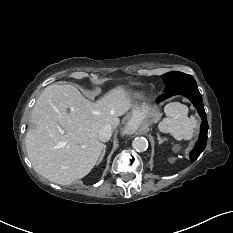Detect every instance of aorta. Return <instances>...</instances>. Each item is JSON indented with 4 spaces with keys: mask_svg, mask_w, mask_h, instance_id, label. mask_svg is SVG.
<instances>
[{
    "mask_svg": "<svg viewBox=\"0 0 233 233\" xmlns=\"http://www.w3.org/2000/svg\"><path fill=\"white\" fill-rule=\"evenodd\" d=\"M132 147L137 152L145 151L148 148V141L144 137H136L132 142Z\"/></svg>",
    "mask_w": 233,
    "mask_h": 233,
    "instance_id": "obj_1",
    "label": "aorta"
}]
</instances>
